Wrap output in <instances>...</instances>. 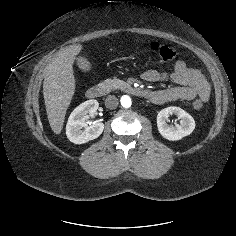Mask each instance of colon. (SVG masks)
Segmentation results:
<instances>
[{
  "label": "colon",
  "mask_w": 236,
  "mask_h": 236,
  "mask_svg": "<svg viewBox=\"0 0 236 236\" xmlns=\"http://www.w3.org/2000/svg\"><path fill=\"white\" fill-rule=\"evenodd\" d=\"M150 49L153 53H155L162 61L165 62H171L178 58V52L177 50L169 45L162 44L158 41H153L150 44ZM204 102L197 98L193 102V107L197 110L201 109L203 107Z\"/></svg>",
  "instance_id": "5ec220e1"
}]
</instances>
